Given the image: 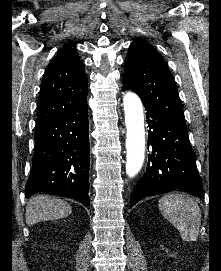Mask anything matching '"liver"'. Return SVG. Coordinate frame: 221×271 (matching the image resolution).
<instances>
[{
    "label": "liver",
    "instance_id": "6515ba94",
    "mask_svg": "<svg viewBox=\"0 0 221 271\" xmlns=\"http://www.w3.org/2000/svg\"><path fill=\"white\" fill-rule=\"evenodd\" d=\"M71 211V205L64 199H57V197H50V195H35L27 201L26 223L34 225L38 221L60 219V217L70 215Z\"/></svg>",
    "mask_w": 221,
    "mask_h": 271
}]
</instances>
